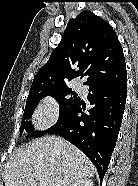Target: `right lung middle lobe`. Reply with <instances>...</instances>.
<instances>
[{"label":"right lung middle lobe","mask_w":138,"mask_h":186,"mask_svg":"<svg viewBox=\"0 0 138 186\" xmlns=\"http://www.w3.org/2000/svg\"><path fill=\"white\" fill-rule=\"evenodd\" d=\"M48 95L55 97L60 102L59 120H61L67 113H69L80 99V98H77L74 92H72V90L68 88L67 86H62V87H57V88H53V89H49L45 91L30 93L28 95L26 107H25L24 114H23L24 119L22 120L20 134H22L23 129L29 132V135H27V137H38V136H41L47 133L49 129L46 131H34V128L32 127L31 123L27 121V119L31 118L32 113L36 105L38 104V102L42 98Z\"/></svg>","instance_id":"1"}]
</instances>
